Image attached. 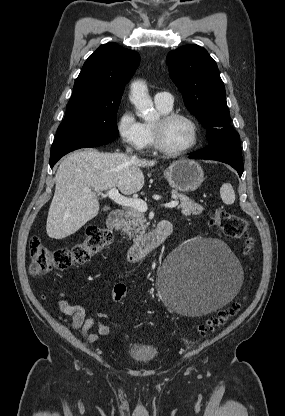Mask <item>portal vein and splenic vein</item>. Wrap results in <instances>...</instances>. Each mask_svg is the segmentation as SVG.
Instances as JSON below:
<instances>
[{
  "label": "portal vein and splenic vein",
  "instance_id": "obj_1",
  "mask_svg": "<svg viewBox=\"0 0 285 416\" xmlns=\"http://www.w3.org/2000/svg\"><path fill=\"white\" fill-rule=\"evenodd\" d=\"M86 194H91V190H86ZM106 196L111 198V200L116 202V204H120V206L135 208V210H138V212H147L148 210L146 202L139 200V198H125V196H121V194H119L117 188H111V190H108V192H106ZM178 204L179 202L174 200V202H169V204H162V206H164V208H175V206H178Z\"/></svg>",
  "mask_w": 285,
  "mask_h": 416
}]
</instances>
